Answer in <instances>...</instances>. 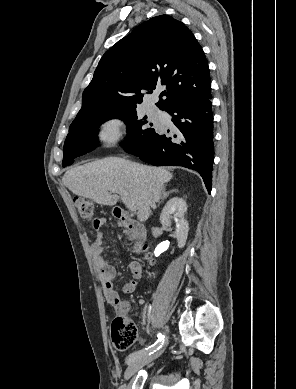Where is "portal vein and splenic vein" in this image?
<instances>
[{"instance_id":"obj_1","label":"portal vein and splenic vein","mask_w":296,"mask_h":389,"mask_svg":"<svg viewBox=\"0 0 296 389\" xmlns=\"http://www.w3.org/2000/svg\"><path fill=\"white\" fill-rule=\"evenodd\" d=\"M121 199L123 201V203L127 206V208L131 211V212H135L136 211V206L133 202H131L130 200H128L126 197L122 196L121 195Z\"/></svg>"}]
</instances>
